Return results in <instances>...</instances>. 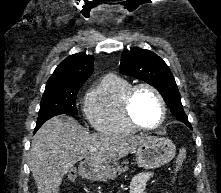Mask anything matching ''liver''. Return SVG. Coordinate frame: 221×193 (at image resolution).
Here are the masks:
<instances>
[{
    "label": "liver",
    "mask_w": 221,
    "mask_h": 193,
    "mask_svg": "<svg viewBox=\"0 0 221 193\" xmlns=\"http://www.w3.org/2000/svg\"><path fill=\"white\" fill-rule=\"evenodd\" d=\"M150 137L91 134L74 118L56 116L35 134L29 166L38 193H58L64 175L78 161L93 166L113 163L135 150ZM95 148L96 151H91Z\"/></svg>",
    "instance_id": "6515ba94"
}]
</instances>
